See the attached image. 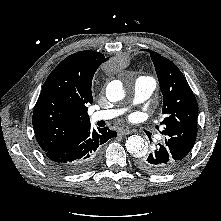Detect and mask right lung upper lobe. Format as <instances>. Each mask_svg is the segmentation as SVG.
Masks as SVG:
<instances>
[{"mask_svg":"<svg viewBox=\"0 0 221 221\" xmlns=\"http://www.w3.org/2000/svg\"><path fill=\"white\" fill-rule=\"evenodd\" d=\"M102 53L80 51L65 58L46 79L33 112L34 133L47 152L90 126L88 103H93L94 73Z\"/></svg>","mask_w":221,"mask_h":221,"instance_id":"obj_1","label":"right lung upper lobe"}]
</instances>
